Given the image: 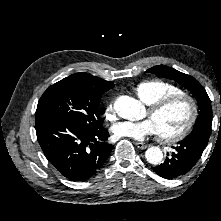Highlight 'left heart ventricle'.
Here are the masks:
<instances>
[{
	"label": "left heart ventricle",
	"instance_id": "left-heart-ventricle-1",
	"mask_svg": "<svg viewBox=\"0 0 221 221\" xmlns=\"http://www.w3.org/2000/svg\"><path fill=\"white\" fill-rule=\"evenodd\" d=\"M187 116V106L180 102L165 108L160 113L151 116L150 119L154 122L157 132L170 135L177 132L185 124Z\"/></svg>",
	"mask_w": 221,
	"mask_h": 221
}]
</instances>
